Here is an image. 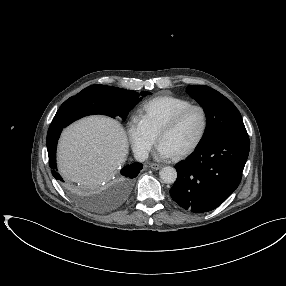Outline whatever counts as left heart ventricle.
Masks as SVG:
<instances>
[{
  "mask_svg": "<svg viewBox=\"0 0 286 286\" xmlns=\"http://www.w3.org/2000/svg\"><path fill=\"white\" fill-rule=\"evenodd\" d=\"M203 126L202 113L194 109L190 111L174 128L161 137L164 144L174 154L189 147L199 136Z\"/></svg>",
  "mask_w": 286,
  "mask_h": 286,
  "instance_id": "left-heart-ventricle-1",
  "label": "left heart ventricle"
}]
</instances>
